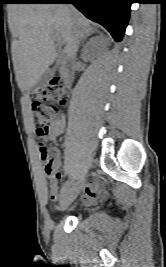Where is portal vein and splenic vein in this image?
I'll list each match as a JSON object with an SVG mask.
<instances>
[{"instance_id": "18ae733b", "label": "portal vein and splenic vein", "mask_w": 166, "mask_h": 267, "mask_svg": "<svg viewBox=\"0 0 166 267\" xmlns=\"http://www.w3.org/2000/svg\"><path fill=\"white\" fill-rule=\"evenodd\" d=\"M53 37H54V39H56V41H57L59 44L64 43L63 40H62V37H61L59 34L55 33V34H53Z\"/></svg>"}]
</instances>
